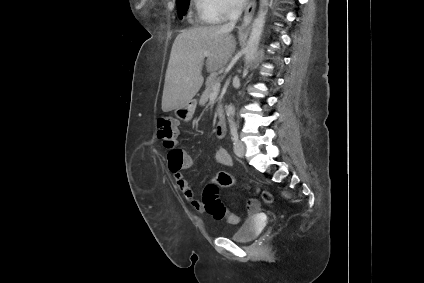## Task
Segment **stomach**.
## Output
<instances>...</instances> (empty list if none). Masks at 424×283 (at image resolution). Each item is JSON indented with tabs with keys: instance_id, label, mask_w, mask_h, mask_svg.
<instances>
[{
	"instance_id": "1",
	"label": "stomach",
	"mask_w": 424,
	"mask_h": 283,
	"mask_svg": "<svg viewBox=\"0 0 424 283\" xmlns=\"http://www.w3.org/2000/svg\"><path fill=\"white\" fill-rule=\"evenodd\" d=\"M195 108L196 103L194 101H190L189 103L176 108L175 115L181 121L188 122L192 119Z\"/></svg>"
}]
</instances>
